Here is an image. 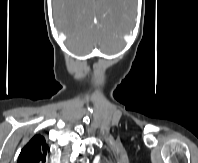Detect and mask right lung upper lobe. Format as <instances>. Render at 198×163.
<instances>
[{"label":"right lung upper lobe","mask_w":198,"mask_h":163,"mask_svg":"<svg viewBox=\"0 0 198 163\" xmlns=\"http://www.w3.org/2000/svg\"><path fill=\"white\" fill-rule=\"evenodd\" d=\"M48 146L42 135H35L21 150L17 163H45Z\"/></svg>","instance_id":"cb5924a9"}]
</instances>
